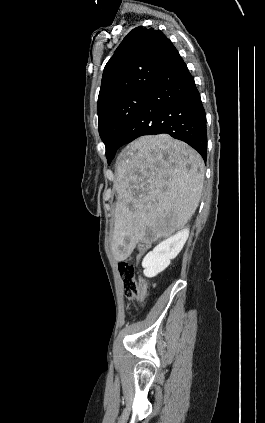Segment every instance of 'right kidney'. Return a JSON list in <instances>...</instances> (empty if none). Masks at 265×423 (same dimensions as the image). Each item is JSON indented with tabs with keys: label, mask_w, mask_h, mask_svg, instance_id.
<instances>
[{
	"label": "right kidney",
	"mask_w": 265,
	"mask_h": 423,
	"mask_svg": "<svg viewBox=\"0 0 265 423\" xmlns=\"http://www.w3.org/2000/svg\"><path fill=\"white\" fill-rule=\"evenodd\" d=\"M188 236L189 230L183 229L158 244L142 261L144 275L152 278L164 271L170 265L171 260L180 253Z\"/></svg>",
	"instance_id": "right-kidney-1"
}]
</instances>
